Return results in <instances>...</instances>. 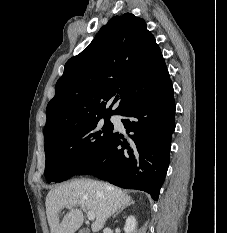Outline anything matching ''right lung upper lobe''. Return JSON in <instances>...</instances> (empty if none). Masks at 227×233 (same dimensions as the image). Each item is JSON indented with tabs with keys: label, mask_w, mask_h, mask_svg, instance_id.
Instances as JSON below:
<instances>
[{
	"label": "right lung upper lobe",
	"mask_w": 227,
	"mask_h": 233,
	"mask_svg": "<svg viewBox=\"0 0 227 233\" xmlns=\"http://www.w3.org/2000/svg\"><path fill=\"white\" fill-rule=\"evenodd\" d=\"M168 80L164 58L145 21L130 13L113 17L65 64L46 109L45 144L86 122L120 115Z\"/></svg>",
	"instance_id": "cb5924a9"
}]
</instances>
